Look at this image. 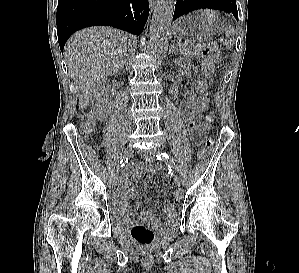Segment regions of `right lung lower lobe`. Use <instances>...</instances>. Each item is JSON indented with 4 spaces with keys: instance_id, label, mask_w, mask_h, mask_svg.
<instances>
[{
    "instance_id": "obj_1",
    "label": "right lung lower lobe",
    "mask_w": 299,
    "mask_h": 273,
    "mask_svg": "<svg viewBox=\"0 0 299 273\" xmlns=\"http://www.w3.org/2000/svg\"><path fill=\"white\" fill-rule=\"evenodd\" d=\"M149 15L148 0H58L57 33L63 53L67 39L77 30L97 25L139 34Z\"/></svg>"
}]
</instances>
